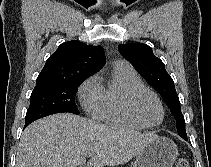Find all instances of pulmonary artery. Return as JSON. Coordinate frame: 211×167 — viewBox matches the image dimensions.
<instances>
[{
    "label": "pulmonary artery",
    "instance_id": "obj_1",
    "mask_svg": "<svg viewBox=\"0 0 211 167\" xmlns=\"http://www.w3.org/2000/svg\"><path fill=\"white\" fill-rule=\"evenodd\" d=\"M115 67L131 68L130 64L125 60L116 61Z\"/></svg>",
    "mask_w": 211,
    "mask_h": 167
}]
</instances>
